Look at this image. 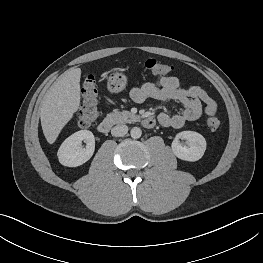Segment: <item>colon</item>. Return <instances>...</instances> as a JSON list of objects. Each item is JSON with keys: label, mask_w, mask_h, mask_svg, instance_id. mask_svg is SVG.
Masks as SVG:
<instances>
[{"label": "colon", "mask_w": 263, "mask_h": 263, "mask_svg": "<svg viewBox=\"0 0 263 263\" xmlns=\"http://www.w3.org/2000/svg\"><path fill=\"white\" fill-rule=\"evenodd\" d=\"M145 69L152 75L165 77L172 72V66L156 59H148L144 63ZM81 95L83 105L77 114L78 123L85 127L93 124L98 119V97L99 92L95 76L88 74L81 85ZM207 126L211 131H217L220 128L219 120L214 116L207 118Z\"/></svg>", "instance_id": "1"}]
</instances>
